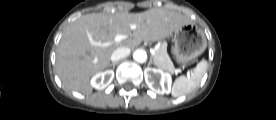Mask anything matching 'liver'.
<instances>
[{
  "mask_svg": "<svg viewBox=\"0 0 276 120\" xmlns=\"http://www.w3.org/2000/svg\"><path fill=\"white\" fill-rule=\"evenodd\" d=\"M189 23L188 17L165 7L141 13L83 15L63 32L57 49V74L67 89L91 94L90 78L110 65L111 55L117 48L131 49L142 41L162 40ZM131 25H136V29H131ZM131 31L132 37H129ZM116 35L127 37L116 43ZM92 41L101 45H92ZM105 43L108 45L104 46Z\"/></svg>",
  "mask_w": 276,
  "mask_h": 120,
  "instance_id": "liver-1",
  "label": "liver"
}]
</instances>
